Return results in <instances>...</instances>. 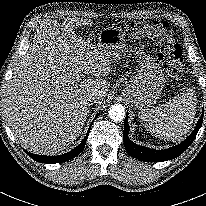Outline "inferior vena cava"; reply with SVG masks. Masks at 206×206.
Here are the masks:
<instances>
[{
    "instance_id": "602c4592",
    "label": "inferior vena cava",
    "mask_w": 206,
    "mask_h": 206,
    "mask_svg": "<svg viewBox=\"0 0 206 206\" xmlns=\"http://www.w3.org/2000/svg\"><path fill=\"white\" fill-rule=\"evenodd\" d=\"M100 100L99 96L97 94L91 93L88 95V101L89 102H98Z\"/></svg>"
}]
</instances>
